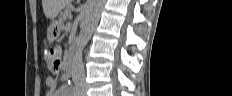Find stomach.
I'll list each match as a JSON object with an SVG mask.
<instances>
[{
  "instance_id": "0dacf381",
  "label": "stomach",
  "mask_w": 232,
  "mask_h": 96,
  "mask_svg": "<svg viewBox=\"0 0 232 96\" xmlns=\"http://www.w3.org/2000/svg\"><path fill=\"white\" fill-rule=\"evenodd\" d=\"M60 23L53 21L48 28V40L54 42L60 35Z\"/></svg>"
}]
</instances>
